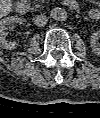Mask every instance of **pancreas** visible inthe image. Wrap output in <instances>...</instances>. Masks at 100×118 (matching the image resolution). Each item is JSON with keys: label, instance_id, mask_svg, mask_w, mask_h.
I'll list each match as a JSON object with an SVG mask.
<instances>
[{"label": "pancreas", "instance_id": "obj_1", "mask_svg": "<svg viewBox=\"0 0 100 118\" xmlns=\"http://www.w3.org/2000/svg\"><path fill=\"white\" fill-rule=\"evenodd\" d=\"M35 1H39L40 2L39 4L35 5V8H39L40 4L44 3L46 0H35Z\"/></svg>", "mask_w": 100, "mask_h": 118}]
</instances>
